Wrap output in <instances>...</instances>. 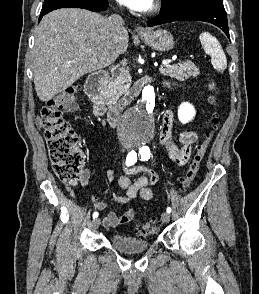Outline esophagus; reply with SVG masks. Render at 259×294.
<instances>
[{"mask_svg": "<svg viewBox=\"0 0 259 294\" xmlns=\"http://www.w3.org/2000/svg\"><path fill=\"white\" fill-rule=\"evenodd\" d=\"M135 30L139 33V34H143L145 33V29L142 26H137L135 28Z\"/></svg>", "mask_w": 259, "mask_h": 294, "instance_id": "obj_1", "label": "esophagus"}]
</instances>
